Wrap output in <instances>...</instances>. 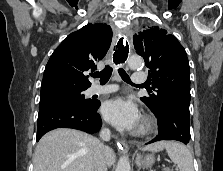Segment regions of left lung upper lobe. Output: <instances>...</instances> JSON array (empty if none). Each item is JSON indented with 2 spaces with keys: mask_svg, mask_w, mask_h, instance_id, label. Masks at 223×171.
Instances as JSON below:
<instances>
[{
  "mask_svg": "<svg viewBox=\"0 0 223 171\" xmlns=\"http://www.w3.org/2000/svg\"><path fill=\"white\" fill-rule=\"evenodd\" d=\"M136 53L149 68V82L155 91L141 100L157 116L168 103L189 110L190 77L185 49L177 38L157 26L148 27L133 39Z\"/></svg>",
  "mask_w": 223,
  "mask_h": 171,
  "instance_id": "obj_1",
  "label": "left lung upper lobe"
}]
</instances>
